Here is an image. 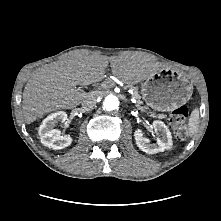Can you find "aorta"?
<instances>
[{
    "label": "aorta",
    "mask_w": 221,
    "mask_h": 221,
    "mask_svg": "<svg viewBox=\"0 0 221 221\" xmlns=\"http://www.w3.org/2000/svg\"><path fill=\"white\" fill-rule=\"evenodd\" d=\"M103 107L107 111L116 110L119 107V99L115 95H107L103 101Z\"/></svg>",
    "instance_id": "1"
}]
</instances>
